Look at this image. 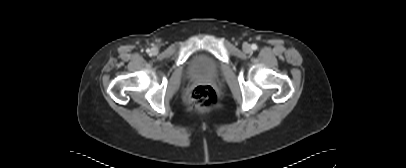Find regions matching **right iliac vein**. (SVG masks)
<instances>
[{
	"label": "right iliac vein",
	"mask_w": 406,
	"mask_h": 168,
	"mask_svg": "<svg viewBox=\"0 0 406 168\" xmlns=\"http://www.w3.org/2000/svg\"><path fill=\"white\" fill-rule=\"evenodd\" d=\"M151 53H152V54H156V53H157V49H156V48H152V49H151Z\"/></svg>",
	"instance_id": "right-iliac-vein-1"
}]
</instances>
